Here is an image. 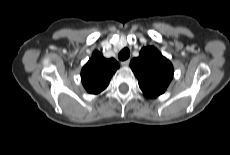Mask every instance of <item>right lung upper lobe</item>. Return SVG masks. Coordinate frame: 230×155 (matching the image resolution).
Here are the masks:
<instances>
[{
	"label": "right lung upper lobe",
	"mask_w": 230,
	"mask_h": 155,
	"mask_svg": "<svg viewBox=\"0 0 230 155\" xmlns=\"http://www.w3.org/2000/svg\"><path fill=\"white\" fill-rule=\"evenodd\" d=\"M119 68V64L113 58L106 59L95 51L81 71L83 86L88 93L98 94L109 84L112 75Z\"/></svg>",
	"instance_id": "1"
}]
</instances>
